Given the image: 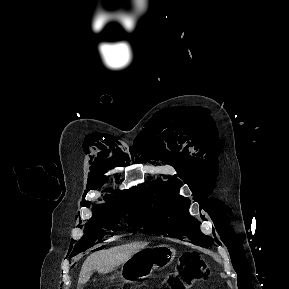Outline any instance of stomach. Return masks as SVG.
<instances>
[{
    "instance_id": "obj_1",
    "label": "stomach",
    "mask_w": 289,
    "mask_h": 289,
    "mask_svg": "<svg viewBox=\"0 0 289 289\" xmlns=\"http://www.w3.org/2000/svg\"><path fill=\"white\" fill-rule=\"evenodd\" d=\"M175 254L176 251L168 245L143 248L122 265L121 277L123 280L145 278L156 268L168 266Z\"/></svg>"
}]
</instances>
